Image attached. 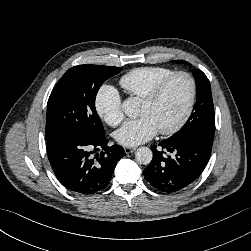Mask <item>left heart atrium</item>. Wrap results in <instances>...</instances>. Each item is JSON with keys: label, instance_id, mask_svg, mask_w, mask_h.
<instances>
[{"label": "left heart atrium", "instance_id": "39dd6f15", "mask_svg": "<svg viewBox=\"0 0 251 251\" xmlns=\"http://www.w3.org/2000/svg\"><path fill=\"white\" fill-rule=\"evenodd\" d=\"M157 131L158 129L153 120L144 115L138 119L127 121L115 133V139L122 146L133 147L150 140Z\"/></svg>", "mask_w": 251, "mask_h": 251}]
</instances>
